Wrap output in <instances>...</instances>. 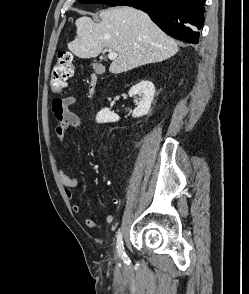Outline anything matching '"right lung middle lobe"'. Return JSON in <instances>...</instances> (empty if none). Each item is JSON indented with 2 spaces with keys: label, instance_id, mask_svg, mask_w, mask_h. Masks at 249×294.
Returning a JSON list of instances; mask_svg holds the SVG:
<instances>
[{
  "label": "right lung middle lobe",
  "instance_id": "1",
  "mask_svg": "<svg viewBox=\"0 0 249 294\" xmlns=\"http://www.w3.org/2000/svg\"><path fill=\"white\" fill-rule=\"evenodd\" d=\"M81 3H105L111 7L117 6L122 0H78Z\"/></svg>",
  "mask_w": 249,
  "mask_h": 294
}]
</instances>
